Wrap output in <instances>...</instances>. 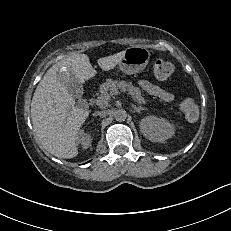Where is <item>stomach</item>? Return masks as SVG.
Masks as SVG:
<instances>
[{
	"instance_id": "1",
	"label": "stomach",
	"mask_w": 231,
	"mask_h": 231,
	"mask_svg": "<svg viewBox=\"0 0 231 231\" xmlns=\"http://www.w3.org/2000/svg\"><path fill=\"white\" fill-rule=\"evenodd\" d=\"M150 59V51L143 46H133L125 50L119 69L128 74H136L145 69Z\"/></svg>"
}]
</instances>
